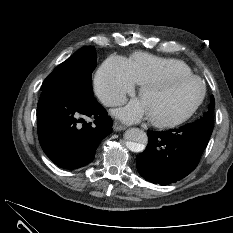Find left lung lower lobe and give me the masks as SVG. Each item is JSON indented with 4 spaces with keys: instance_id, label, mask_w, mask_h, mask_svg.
<instances>
[{
    "instance_id": "left-lung-lower-lobe-1",
    "label": "left lung lower lobe",
    "mask_w": 233,
    "mask_h": 233,
    "mask_svg": "<svg viewBox=\"0 0 233 233\" xmlns=\"http://www.w3.org/2000/svg\"><path fill=\"white\" fill-rule=\"evenodd\" d=\"M212 131L192 123L171 131L148 132V145L136 158L139 174L161 185L186 177L198 165Z\"/></svg>"
}]
</instances>
